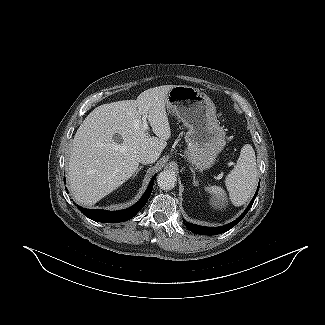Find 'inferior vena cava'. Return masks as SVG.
Returning a JSON list of instances; mask_svg holds the SVG:
<instances>
[{"label":"inferior vena cava","instance_id":"1","mask_svg":"<svg viewBox=\"0 0 325 325\" xmlns=\"http://www.w3.org/2000/svg\"><path fill=\"white\" fill-rule=\"evenodd\" d=\"M159 158V153L154 150H146L140 155V163L150 164L154 163Z\"/></svg>","mask_w":325,"mask_h":325}]
</instances>
